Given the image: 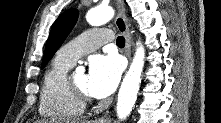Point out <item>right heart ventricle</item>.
I'll use <instances>...</instances> for the list:
<instances>
[{"mask_svg": "<svg viewBox=\"0 0 221 123\" xmlns=\"http://www.w3.org/2000/svg\"><path fill=\"white\" fill-rule=\"evenodd\" d=\"M72 66L73 64L56 56L45 71L39 104L42 116L65 120L83 114L85 105L75 98L67 84V73Z\"/></svg>", "mask_w": 221, "mask_h": 123, "instance_id": "right-heart-ventricle-1", "label": "right heart ventricle"}]
</instances>
